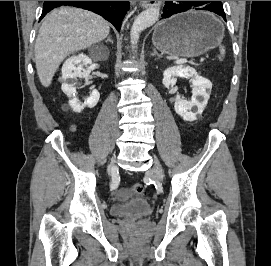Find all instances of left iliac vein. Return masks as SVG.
<instances>
[{
    "label": "left iliac vein",
    "mask_w": 271,
    "mask_h": 266,
    "mask_svg": "<svg viewBox=\"0 0 271 266\" xmlns=\"http://www.w3.org/2000/svg\"><path fill=\"white\" fill-rule=\"evenodd\" d=\"M152 173H153L154 179L157 182H162L163 171H162L161 165H160L157 158H154V169H153Z\"/></svg>",
    "instance_id": "1"
}]
</instances>
